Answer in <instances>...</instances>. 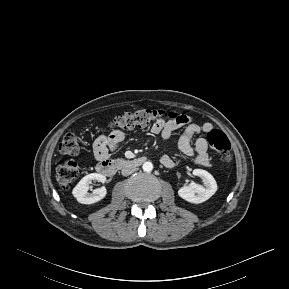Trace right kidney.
Wrapping results in <instances>:
<instances>
[{"label":"right kidney","mask_w":289,"mask_h":289,"mask_svg":"<svg viewBox=\"0 0 289 289\" xmlns=\"http://www.w3.org/2000/svg\"><path fill=\"white\" fill-rule=\"evenodd\" d=\"M92 180L104 183L106 177L99 173H91L83 177L72 191L73 196L79 203L93 204L102 200L106 196L107 190L105 187L97 188L93 190L92 193L88 192Z\"/></svg>","instance_id":"right-kidney-1"}]
</instances>
